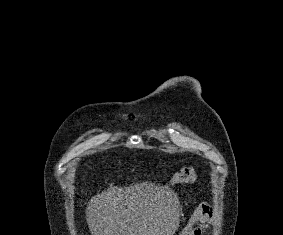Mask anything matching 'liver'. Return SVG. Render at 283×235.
I'll use <instances>...</instances> for the list:
<instances>
[{"mask_svg":"<svg viewBox=\"0 0 283 235\" xmlns=\"http://www.w3.org/2000/svg\"><path fill=\"white\" fill-rule=\"evenodd\" d=\"M178 199L151 182L110 186L86 208L92 235H172L179 226Z\"/></svg>","mask_w":283,"mask_h":235,"instance_id":"obj_1","label":"liver"}]
</instances>
